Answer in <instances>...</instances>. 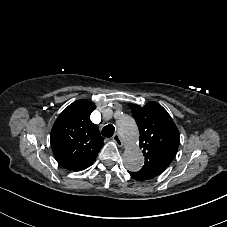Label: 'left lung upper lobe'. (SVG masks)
Instances as JSON below:
<instances>
[{"label": "left lung upper lobe", "instance_id": "obj_1", "mask_svg": "<svg viewBox=\"0 0 227 227\" xmlns=\"http://www.w3.org/2000/svg\"><path fill=\"white\" fill-rule=\"evenodd\" d=\"M129 106L139 128L140 148L145 157L144 166L134 173L144 180L151 179L161 174L175 157L180 135L168 112L158 103Z\"/></svg>", "mask_w": 227, "mask_h": 227}]
</instances>
